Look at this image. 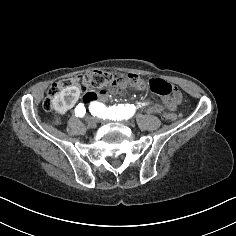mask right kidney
Here are the masks:
<instances>
[{
    "instance_id": "ca27d5eb",
    "label": "right kidney",
    "mask_w": 236,
    "mask_h": 236,
    "mask_svg": "<svg viewBox=\"0 0 236 236\" xmlns=\"http://www.w3.org/2000/svg\"><path fill=\"white\" fill-rule=\"evenodd\" d=\"M81 94V89L77 86H68L59 94L54 95L51 100V110L49 120L56 130L65 128L64 116L69 112Z\"/></svg>"
}]
</instances>
